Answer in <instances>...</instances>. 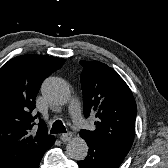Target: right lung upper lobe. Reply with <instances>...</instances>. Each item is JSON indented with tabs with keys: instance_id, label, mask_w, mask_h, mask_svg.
<instances>
[{
	"instance_id": "obj_1",
	"label": "right lung upper lobe",
	"mask_w": 168,
	"mask_h": 168,
	"mask_svg": "<svg viewBox=\"0 0 168 168\" xmlns=\"http://www.w3.org/2000/svg\"><path fill=\"white\" fill-rule=\"evenodd\" d=\"M64 59L22 55L0 68V168H33L55 142L41 119L37 132L32 110L42 81L59 69Z\"/></svg>"
}]
</instances>
